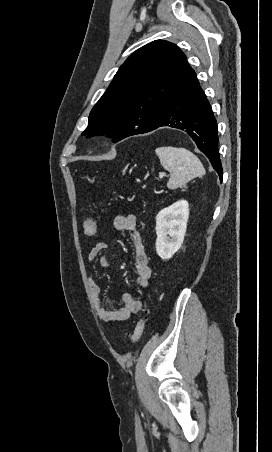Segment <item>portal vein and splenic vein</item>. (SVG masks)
<instances>
[{
    "label": "portal vein and splenic vein",
    "mask_w": 272,
    "mask_h": 452,
    "mask_svg": "<svg viewBox=\"0 0 272 452\" xmlns=\"http://www.w3.org/2000/svg\"><path fill=\"white\" fill-rule=\"evenodd\" d=\"M159 178H161V179H162V178H163V174H160V175H159Z\"/></svg>",
    "instance_id": "18ae733b"
}]
</instances>
